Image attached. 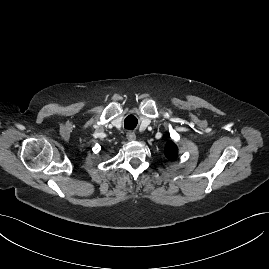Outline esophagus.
<instances>
[{
  "label": "esophagus",
  "instance_id": "obj_1",
  "mask_svg": "<svg viewBox=\"0 0 269 269\" xmlns=\"http://www.w3.org/2000/svg\"><path fill=\"white\" fill-rule=\"evenodd\" d=\"M127 139L129 140V141H134V140H136V135H135V133L134 132H128L127 133Z\"/></svg>",
  "mask_w": 269,
  "mask_h": 269
}]
</instances>
